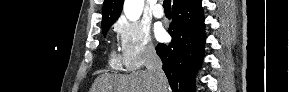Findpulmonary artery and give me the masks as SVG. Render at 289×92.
<instances>
[{"label":"pulmonary artery","mask_w":289,"mask_h":92,"mask_svg":"<svg viewBox=\"0 0 289 92\" xmlns=\"http://www.w3.org/2000/svg\"><path fill=\"white\" fill-rule=\"evenodd\" d=\"M153 15L156 18H162L164 16V12L163 9L161 7V5L157 4L154 8H153Z\"/></svg>","instance_id":"1"}]
</instances>
